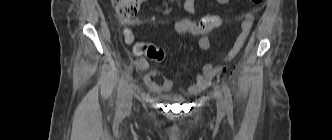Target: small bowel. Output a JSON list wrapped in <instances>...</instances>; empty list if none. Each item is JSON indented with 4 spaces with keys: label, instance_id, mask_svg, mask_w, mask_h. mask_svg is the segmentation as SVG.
Returning <instances> with one entry per match:
<instances>
[{
    "label": "small bowel",
    "instance_id": "small-bowel-1",
    "mask_svg": "<svg viewBox=\"0 0 332 140\" xmlns=\"http://www.w3.org/2000/svg\"><path fill=\"white\" fill-rule=\"evenodd\" d=\"M219 4H227L230 0H216ZM185 9L191 15H198V10L195 8L194 0L185 1ZM254 17L252 14H245L244 19L241 23L240 32L225 57L219 63L206 64L200 73L196 76V82L189 86L184 95L189 96L196 94L206 88L212 81V79L224 68L225 64L230 62L242 48L253 24ZM209 38L201 36L198 40V46L202 50H208ZM138 68L144 73V83L148 90L153 93L160 95L163 100L177 102L181 100L178 95L171 94V90L175 85V81L171 78L162 76V84H158L153 80L154 77L161 76L160 72L152 69L149 62L141 58L136 62Z\"/></svg>",
    "mask_w": 332,
    "mask_h": 140
}]
</instances>
